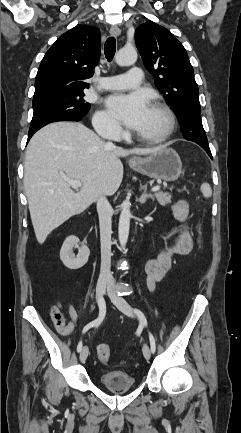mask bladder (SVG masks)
I'll return each instance as SVG.
<instances>
[{"instance_id": "31cf9c89", "label": "bladder", "mask_w": 241, "mask_h": 433, "mask_svg": "<svg viewBox=\"0 0 241 433\" xmlns=\"http://www.w3.org/2000/svg\"><path fill=\"white\" fill-rule=\"evenodd\" d=\"M101 385L110 392H125L136 386L133 376L124 371H108L99 376Z\"/></svg>"}]
</instances>
